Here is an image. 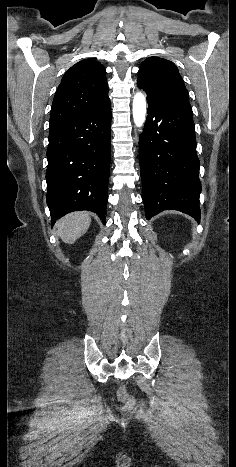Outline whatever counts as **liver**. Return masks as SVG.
<instances>
[{
	"label": "liver",
	"mask_w": 236,
	"mask_h": 467,
	"mask_svg": "<svg viewBox=\"0 0 236 467\" xmlns=\"http://www.w3.org/2000/svg\"><path fill=\"white\" fill-rule=\"evenodd\" d=\"M91 223V218L87 212H73L59 219L55 227L57 235L67 244H73L83 236Z\"/></svg>",
	"instance_id": "6515ba94"
}]
</instances>
